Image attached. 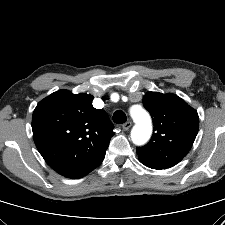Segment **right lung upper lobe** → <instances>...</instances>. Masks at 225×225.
<instances>
[{"mask_svg": "<svg viewBox=\"0 0 225 225\" xmlns=\"http://www.w3.org/2000/svg\"><path fill=\"white\" fill-rule=\"evenodd\" d=\"M93 96L59 90L36 106L34 142L47 164L68 178H81L105 157L113 125L104 110L92 106Z\"/></svg>", "mask_w": 225, "mask_h": 225, "instance_id": "1", "label": "right lung upper lobe"}]
</instances>
